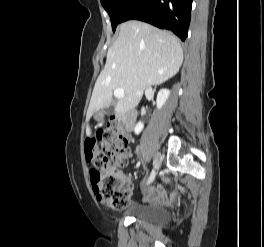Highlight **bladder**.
Instances as JSON below:
<instances>
[{
    "mask_svg": "<svg viewBox=\"0 0 264 247\" xmlns=\"http://www.w3.org/2000/svg\"><path fill=\"white\" fill-rule=\"evenodd\" d=\"M129 212L131 217L154 225L166 224L171 220V212L162 206L134 204Z\"/></svg>",
    "mask_w": 264,
    "mask_h": 247,
    "instance_id": "31cf9c89",
    "label": "bladder"
}]
</instances>
